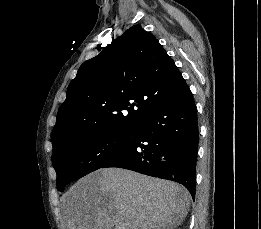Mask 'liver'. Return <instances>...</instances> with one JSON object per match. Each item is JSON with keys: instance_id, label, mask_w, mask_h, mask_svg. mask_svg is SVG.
Listing matches in <instances>:
<instances>
[{"instance_id": "obj_1", "label": "liver", "mask_w": 261, "mask_h": 229, "mask_svg": "<svg viewBox=\"0 0 261 229\" xmlns=\"http://www.w3.org/2000/svg\"><path fill=\"white\" fill-rule=\"evenodd\" d=\"M191 195L183 185L126 169H99L62 197L66 229H176Z\"/></svg>"}]
</instances>
